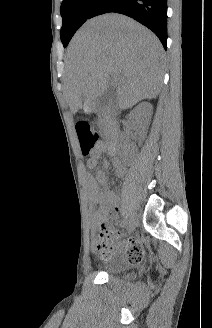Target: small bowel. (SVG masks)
Listing matches in <instances>:
<instances>
[{
    "mask_svg": "<svg viewBox=\"0 0 212 328\" xmlns=\"http://www.w3.org/2000/svg\"><path fill=\"white\" fill-rule=\"evenodd\" d=\"M106 151V143L101 141L97 144L93 156L88 160L89 168L95 170V176H87L88 197L92 204L98 205L97 210L92 215V221L95 226L103 224L105 221L114 222L120 208V195L108 188L105 162L102 166L98 164V157ZM117 177H123L126 174L125 166L117 159L112 161ZM96 244V243H95ZM142 253L140 242L137 239L128 240L123 246L116 250L118 257H128L130 261L135 262V258Z\"/></svg>",
    "mask_w": 212,
    "mask_h": 328,
    "instance_id": "c3829d8e",
    "label": "small bowel"
}]
</instances>
